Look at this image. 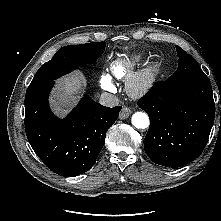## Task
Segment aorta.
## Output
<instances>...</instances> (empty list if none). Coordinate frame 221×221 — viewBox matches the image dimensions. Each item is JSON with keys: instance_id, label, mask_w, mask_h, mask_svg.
Returning a JSON list of instances; mask_svg holds the SVG:
<instances>
[{"instance_id": "aorta-1", "label": "aorta", "mask_w": 221, "mask_h": 221, "mask_svg": "<svg viewBox=\"0 0 221 221\" xmlns=\"http://www.w3.org/2000/svg\"><path fill=\"white\" fill-rule=\"evenodd\" d=\"M131 122L137 129H146L149 126V117L144 112H136L133 114Z\"/></svg>"}]
</instances>
